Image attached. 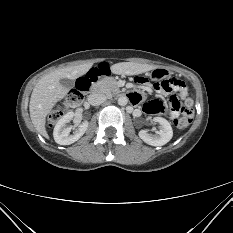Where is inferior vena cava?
Instances as JSON below:
<instances>
[{"mask_svg":"<svg viewBox=\"0 0 233 233\" xmlns=\"http://www.w3.org/2000/svg\"><path fill=\"white\" fill-rule=\"evenodd\" d=\"M107 99V96L105 94H98V95H94L91 94L88 96V102L92 105V106H98L102 103H104Z\"/></svg>","mask_w":233,"mask_h":233,"instance_id":"1","label":"inferior vena cava"}]
</instances>
